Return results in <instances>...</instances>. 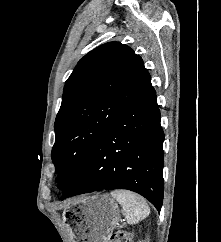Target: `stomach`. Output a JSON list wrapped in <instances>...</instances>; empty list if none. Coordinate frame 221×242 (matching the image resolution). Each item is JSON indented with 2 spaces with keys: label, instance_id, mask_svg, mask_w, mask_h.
Wrapping results in <instances>:
<instances>
[{
  "label": "stomach",
  "instance_id": "stomach-1",
  "mask_svg": "<svg viewBox=\"0 0 221 242\" xmlns=\"http://www.w3.org/2000/svg\"><path fill=\"white\" fill-rule=\"evenodd\" d=\"M68 208L72 242H108L119 221L118 204L108 194L82 196Z\"/></svg>",
  "mask_w": 221,
  "mask_h": 242
}]
</instances>
